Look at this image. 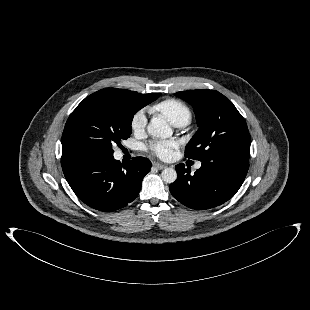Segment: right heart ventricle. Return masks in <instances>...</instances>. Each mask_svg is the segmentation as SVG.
<instances>
[{
  "label": "right heart ventricle",
  "mask_w": 310,
  "mask_h": 310,
  "mask_svg": "<svg viewBox=\"0 0 310 310\" xmlns=\"http://www.w3.org/2000/svg\"><path fill=\"white\" fill-rule=\"evenodd\" d=\"M151 111L160 114L175 126H184L192 119L189 106L175 98H168L154 104Z\"/></svg>",
  "instance_id": "obj_1"
}]
</instances>
